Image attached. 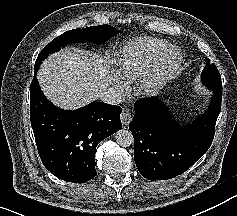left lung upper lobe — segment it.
<instances>
[{"mask_svg":"<svg viewBox=\"0 0 237 216\" xmlns=\"http://www.w3.org/2000/svg\"><path fill=\"white\" fill-rule=\"evenodd\" d=\"M207 65L204 67L201 78L204 85H206L213 93L222 92L221 76L214 63L206 58Z\"/></svg>","mask_w":237,"mask_h":216,"instance_id":"5c2ea615","label":"left lung upper lobe"}]
</instances>
